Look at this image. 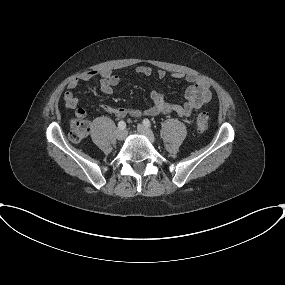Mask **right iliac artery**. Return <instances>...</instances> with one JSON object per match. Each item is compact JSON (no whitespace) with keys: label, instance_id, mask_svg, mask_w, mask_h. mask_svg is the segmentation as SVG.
<instances>
[{"label":"right iliac artery","instance_id":"82829eb1","mask_svg":"<svg viewBox=\"0 0 285 285\" xmlns=\"http://www.w3.org/2000/svg\"><path fill=\"white\" fill-rule=\"evenodd\" d=\"M118 128H119V129H125V128H126V123H125L124 121H120V122L118 123Z\"/></svg>","mask_w":285,"mask_h":285}]
</instances>
